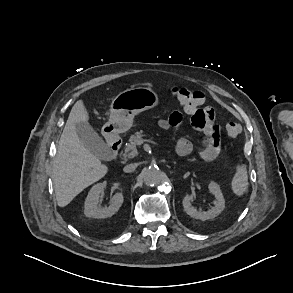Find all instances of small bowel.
Returning <instances> with one entry per match:
<instances>
[{
  "mask_svg": "<svg viewBox=\"0 0 293 293\" xmlns=\"http://www.w3.org/2000/svg\"><path fill=\"white\" fill-rule=\"evenodd\" d=\"M187 112V111H186ZM189 113V112H187ZM192 115V126L203 133L199 157L207 162L215 160L220 153V129L216 122L215 112L206 107L200 110V115ZM182 122V113L178 110L171 113L169 118L158 121V126L165 130L178 132ZM192 142L184 136H179L176 144V152L180 155H188L193 151Z\"/></svg>",
  "mask_w": 293,
  "mask_h": 293,
  "instance_id": "small-bowel-1",
  "label": "small bowel"
}]
</instances>
